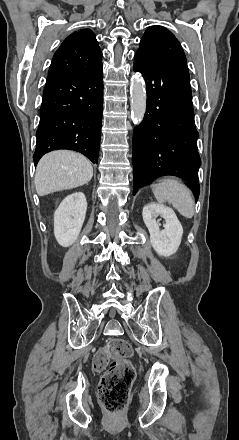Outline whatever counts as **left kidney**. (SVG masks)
Here are the masks:
<instances>
[{"mask_svg": "<svg viewBox=\"0 0 239 440\" xmlns=\"http://www.w3.org/2000/svg\"><path fill=\"white\" fill-rule=\"evenodd\" d=\"M143 222L147 226L150 234V242L152 248L159 256H172L177 252L181 238L183 236V228L173 210L163 204H146L142 212ZM163 218L166 224H164V230H160L156 218Z\"/></svg>", "mask_w": 239, "mask_h": 440, "instance_id": "obj_1", "label": "left kidney"}]
</instances>
